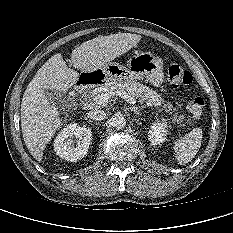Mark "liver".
<instances>
[{
	"instance_id": "6515ba94",
	"label": "liver",
	"mask_w": 233,
	"mask_h": 233,
	"mask_svg": "<svg viewBox=\"0 0 233 233\" xmlns=\"http://www.w3.org/2000/svg\"><path fill=\"white\" fill-rule=\"evenodd\" d=\"M141 38V35L131 33L98 36L75 48L71 63L83 73L94 72L135 47ZM78 79L79 73L70 69L62 55L57 53L44 63L28 84L21 103V128L26 147L37 161L42 160L46 144L62 124L60 112L44 92L48 89L66 92Z\"/></svg>"
}]
</instances>
